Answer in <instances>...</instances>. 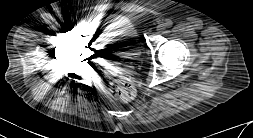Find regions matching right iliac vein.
<instances>
[{
  "label": "right iliac vein",
  "mask_w": 253,
  "mask_h": 138,
  "mask_svg": "<svg viewBox=\"0 0 253 138\" xmlns=\"http://www.w3.org/2000/svg\"><path fill=\"white\" fill-rule=\"evenodd\" d=\"M71 29H72L73 31H76V30L78 29V26H77L76 24H73V25L71 26Z\"/></svg>",
  "instance_id": "1"
}]
</instances>
